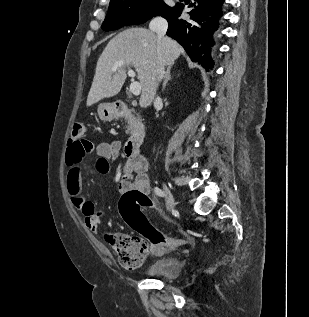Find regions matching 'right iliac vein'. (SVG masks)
<instances>
[{"mask_svg": "<svg viewBox=\"0 0 309 317\" xmlns=\"http://www.w3.org/2000/svg\"><path fill=\"white\" fill-rule=\"evenodd\" d=\"M164 192L166 196L168 209L172 210L175 207V200H174L172 192L170 191V189L168 188L166 184H164Z\"/></svg>", "mask_w": 309, "mask_h": 317, "instance_id": "63e3f726", "label": "right iliac vein"}]
</instances>
